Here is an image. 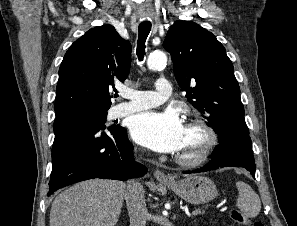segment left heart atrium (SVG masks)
I'll list each match as a JSON object with an SVG mask.
<instances>
[{"mask_svg": "<svg viewBox=\"0 0 297 226\" xmlns=\"http://www.w3.org/2000/svg\"><path fill=\"white\" fill-rule=\"evenodd\" d=\"M185 126L174 111L144 112L133 117L132 138L157 152H178L184 139Z\"/></svg>", "mask_w": 297, "mask_h": 226, "instance_id": "39dd6f15", "label": "left heart atrium"}]
</instances>
